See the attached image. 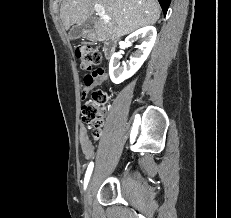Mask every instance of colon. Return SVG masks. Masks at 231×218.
Instances as JSON below:
<instances>
[{"mask_svg": "<svg viewBox=\"0 0 231 218\" xmlns=\"http://www.w3.org/2000/svg\"><path fill=\"white\" fill-rule=\"evenodd\" d=\"M75 55L79 60L80 68L89 71L101 64L102 52L88 44H80L75 49ZM108 94L103 90L92 92L90 100L82 108L83 121L92 131L94 138L101 136V128L105 106L108 103Z\"/></svg>", "mask_w": 231, "mask_h": 218, "instance_id": "1", "label": "colon"}]
</instances>
